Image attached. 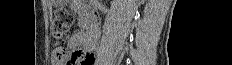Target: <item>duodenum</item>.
I'll list each match as a JSON object with an SVG mask.
<instances>
[{"label":"duodenum","mask_w":232,"mask_h":65,"mask_svg":"<svg viewBox=\"0 0 232 65\" xmlns=\"http://www.w3.org/2000/svg\"><path fill=\"white\" fill-rule=\"evenodd\" d=\"M77 11L80 15L83 34L86 37V47H90L91 42H96L99 36V25L96 15L81 4H77Z\"/></svg>","instance_id":"1"}]
</instances>
